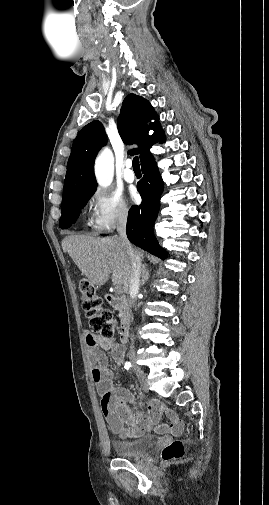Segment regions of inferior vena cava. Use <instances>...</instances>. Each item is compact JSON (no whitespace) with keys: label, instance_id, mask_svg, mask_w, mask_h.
Masks as SVG:
<instances>
[{"label":"inferior vena cava","instance_id":"obj_1","mask_svg":"<svg viewBox=\"0 0 269 505\" xmlns=\"http://www.w3.org/2000/svg\"><path fill=\"white\" fill-rule=\"evenodd\" d=\"M126 224H127V215L122 214L118 219L117 231L119 233L122 245L126 250L130 263L129 295H130V304L132 307L134 306L133 297L136 296L139 292L140 278L143 273V266L141 264V257L138 251L134 249L130 244V242L128 241L126 234ZM130 340H131L130 348L133 349L134 348L133 335H131Z\"/></svg>","mask_w":269,"mask_h":505}]
</instances>
